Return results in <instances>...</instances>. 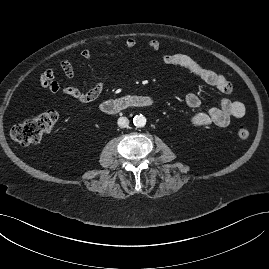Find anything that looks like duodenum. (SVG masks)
Returning <instances> with one entry per match:
<instances>
[{
  "mask_svg": "<svg viewBox=\"0 0 269 269\" xmlns=\"http://www.w3.org/2000/svg\"><path fill=\"white\" fill-rule=\"evenodd\" d=\"M154 104L149 96H124L105 100L101 103V111L106 114H117L129 108H147Z\"/></svg>",
  "mask_w": 269,
  "mask_h": 269,
  "instance_id": "duodenum-1",
  "label": "duodenum"
}]
</instances>
